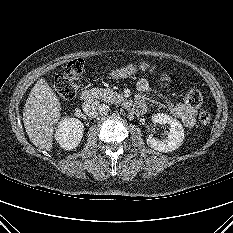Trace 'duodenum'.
<instances>
[{
  "mask_svg": "<svg viewBox=\"0 0 233 233\" xmlns=\"http://www.w3.org/2000/svg\"><path fill=\"white\" fill-rule=\"evenodd\" d=\"M80 98L83 101L90 102L95 98V94L91 89H84L81 91ZM124 107L134 114H140L144 111V105L136 101H125Z\"/></svg>",
  "mask_w": 233,
  "mask_h": 233,
  "instance_id": "410a0bca",
  "label": "duodenum"
}]
</instances>
